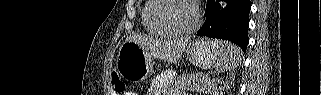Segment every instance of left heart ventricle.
<instances>
[{"mask_svg": "<svg viewBox=\"0 0 321 95\" xmlns=\"http://www.w3.org/2000/svg\"><path fill=\"white\" fill-rule=\"evenodd\" d=\"M156 19L175 30H187L194 22L192 6L182 0L162 3L155 12Z\"/></svg>", "mask_w": 321, "mask_h": 95, "instance_id": "b2bd125f", "label": "left heart ventricle"}]
</instances>
